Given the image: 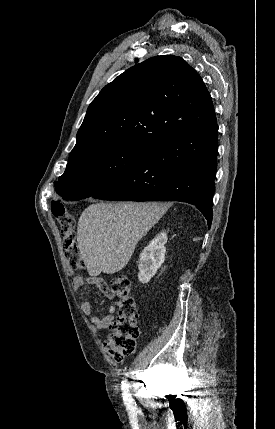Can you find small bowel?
<instances>
[{"mask_svg":"<svg viewBox=\"0 0 275 429\" xmlns=\"http://www.w3.org/2000/svg\"><path fill=\"white\" fill-rule=\"evenodd\" d=\"M85 282L98 287L108 298L111 299L114 297L109 284L100 276H90L86 280L80 275H74L71 277L72 286L76 291H80ZM80 309L86 315H90L93 311L92 304L89 301H82L80 303ZM114 314L115 307L109 306L108 314L105 316H92L90 320L91 324L98 330L110 327L114 319Z\"/></svg>","mask_w":275,"mask_h":429,"instance_id":"obj_1","label":"small bowel"}]
</instances>
